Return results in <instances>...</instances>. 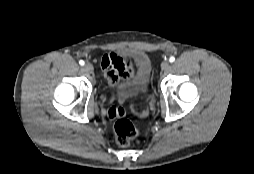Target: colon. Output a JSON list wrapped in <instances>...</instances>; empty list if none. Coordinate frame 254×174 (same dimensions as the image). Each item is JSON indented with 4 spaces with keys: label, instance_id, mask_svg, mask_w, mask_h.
<instances>
[{
    "label": "colon",
    "instance_id": "obj_1",
    "mask_svg": "<svg viewBox=\"0 0 254 174\" xmlns=\"http://www.w3.org/2000/svg\"><path fill=\"white\" fill-rule=\"evenodd\" d=\"M125 111L123 107H118L113 111L115 140L121 146L129 145L138 135L137 128L127 119L123 118Z\"/></svg>",
    "mask_w": 254,
    "mask_h": 174
}]
</instances>
